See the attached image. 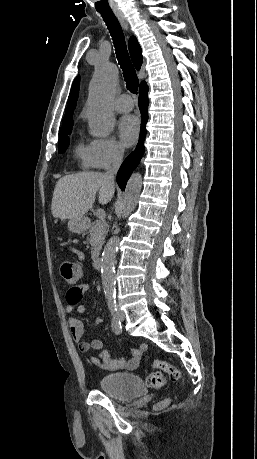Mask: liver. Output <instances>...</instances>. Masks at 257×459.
Returning <instances> with one entry per match:
<instances>
[{
  "mask_svg": "<svg viewBox=\"0 0 257 459\" xmlns=\"http://www.w3.org/2000/svg\"><path fill=\"white\" fill-rule=\"evenodd\" d=\"M114 184L104 173L81 172L64 176L56 183L51 212L54 218L83 217L95 202L107 204L114 195Z\"/></svg>",
  "mask_w": 257,
  "mask_h": 459,
  "instance_id": "6515ba94",
  "label": "liver"
}]
</instances>
